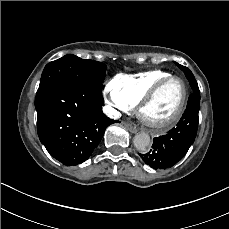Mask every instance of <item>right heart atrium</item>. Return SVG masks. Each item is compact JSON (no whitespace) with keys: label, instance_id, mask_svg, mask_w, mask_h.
Segmentation results:
<instances>
[{"label":"right heart atrium","instance_id":"obj_1","mask_svg":"<svg viewBox=\"0 0 229 229\" xmlns=\"http://www.w3.org/2000/svg\"><path fill=\"white\" fill-rule=\"evenodd\" d=\"M106 101L123 112H130L134 109L135 103L119 95L112 83L108 84L104 90Z\"/></svg>","mask_w":229,"mask_h":229}]
</instances>
